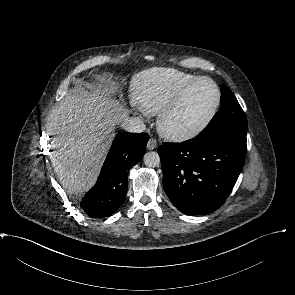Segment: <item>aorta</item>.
<instances>
[{
	"mask_svg": "<svg viewBox=\"0 0 295 295\" xmlns=\"http://www.w3.org/2000/svg\"><path fill=\"white\" fill-rule=\"evenodd\" d=\"M144 163L147 167L154 168L160 164V157L157 152L150 151L144 155Z\"/></svg>",
	"mask_w": 295,
	"mask_h": 295,
	"instance_id": "obj_1",
	"label": "aorta"
}]
</instances>
